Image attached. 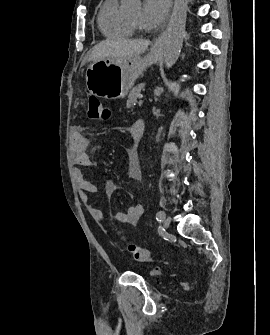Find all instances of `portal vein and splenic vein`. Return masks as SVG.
<instances>
[{
	"mask_svg": "<svg viewBox=\"0 0 270 335\" xmlns=\"http://www.w3.org/2000/svg\"><path fill=\"white\" fill-rule=\"evenodd\" d=\"M142 102H144V101H142V100L140 99V100L137 101V104L140 105Z\"/></svg>",
	"mask_w": 270,
	"mask_h": 335,
	"instance_id": "1",
	"label": "portal vein and splenic vein"
}]
</instances>
